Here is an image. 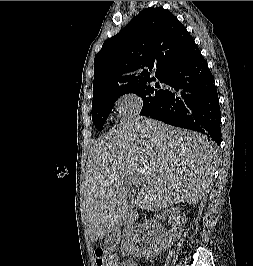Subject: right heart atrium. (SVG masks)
<instances>
[{
	"mask_svg": "<svg viewBox=\"0 0 253 266\" xmlns=\"http://www.w3.org/2000/svg\"><path fill=\"white\" fill-rule=\"evenodd\" d=\"M116 106L118 115L126 118L141 111L143 99L136 92H126L118 97Z\"/></svg>",
	"mask_w": 253,
	"mask_h": 266,
	"instance_id": "obj_1",
	"label": "right heart atrium"
}]
</instances>
